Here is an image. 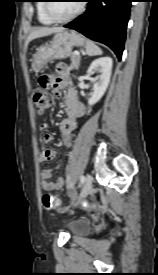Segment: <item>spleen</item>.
Listing matches in <instances>:
<instances>
[{
	"mask_svg": "<svg viewBox=\"0 0 158 275\" xmlns=\"http://www.w3.org/2000/svg\"><path fill=\"white\" fill-rule=\"evenodd\" d=\"M86 53L89 56H96V55H101L102 50L94 42L87 40L86 41Z\"/></svg>",
	"mask_w": 158,
	"mask_h": 275,
	"instance_id": "obj_1",
	"label": "spleen"
}]
</instances>
